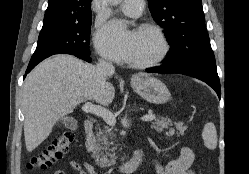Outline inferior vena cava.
Wrapping results in <instances>:
<instances>
[{"mask_svg": "<svg viewBox=\"0 0 249 174\" xmlns=\"http://www.w3.org/2000/svg\"><path fill=\"white\" fill-rule=\"evenodd\" d=\"M97 70L104 81H106L108 77H111L115 71L112 63L107 62L103 59L99 60L97 64Z\"/></svg>", "mask_w": 249, "mask_h": 174, "instance_id": "inferior-vena-cava-1", "label": "inferior vena cava"}]
</instances>
